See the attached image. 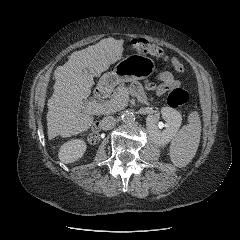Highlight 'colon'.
<instances>
[{
	"mask_svg": "<svg viewBox=\"0 0 240 240\" xmlns=\"http://www.w3.org/2000/svg\"><path fill=\"white\" fill-rule=\"evenodd\" d=\"M131 47L140 53L150 54L153 56H157L159 58H162L164 60H168L169 57L165 54L164 50L156 45L155 43H152L144 38H135L131 40ZM188 93L182 88H175L173 89L168 97H167V103L171 107H179L184 105L188 101ZM97 132L94 131L90 135V140L94 141L96 139Z\"/></svg>",
	"mask_w": 240,
	"mask_h": 240,
	"instance_id": "obj_1",
	"label": "colon"
}]
</instances>
